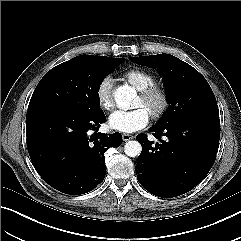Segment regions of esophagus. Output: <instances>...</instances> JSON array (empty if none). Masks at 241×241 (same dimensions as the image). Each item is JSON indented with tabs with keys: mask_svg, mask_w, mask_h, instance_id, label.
Returning <instances> with one entry per match:
<instances>
[{
	"mask_svg": "<svg viewBox=\"0 0 241 241\" xmlns=\"http://www.w3.org/2000/svg\"><path fill=\"white\" fill-rule=\"evenodd\" d=\"M133 138L134 136L131 134H126V133L122 134L123 141H129V140H132Z\"/></svg>",
	"mask_w": 241,
	"mask_h": 241,
	"instance_id": "1",
	"label": "esophagus"
}]
</instances>
